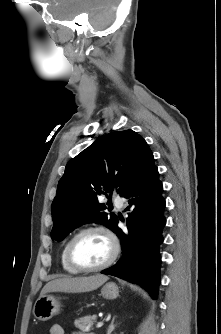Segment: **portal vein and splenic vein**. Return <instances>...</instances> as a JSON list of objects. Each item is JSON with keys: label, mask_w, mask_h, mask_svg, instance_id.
Returning a JSON list of instances; mask_svg holds the SVG:
<instances>
[{"label": "portal vein and splenic vein", "mask_w": 221, "mask_h": 334, "mask_svg": "<svg viewBox=\"0 0 221 334\" xmlns=\"http://www.w3.org/2000/svg\"><path fill=\"white\" fill-rule=\"evenodd\" d=\"M102 326H103V322H98L97 325H96L97 328H100Z\"/></svg>", "instance_id": "obj_1"}]
</instances>
